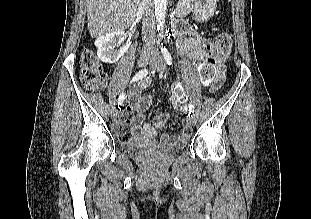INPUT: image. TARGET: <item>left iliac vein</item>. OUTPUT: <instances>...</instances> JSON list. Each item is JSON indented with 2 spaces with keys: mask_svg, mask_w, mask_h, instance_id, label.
<instances>
[{
  "mask_svg": "<svg viewBox=\"0 0 311 219\" xmlns=\"http://www.w3.org/2000/svg\"><path fill=\"white\" fill-rule=\"evenodd\" d=\"M150 65L152 68L159 72L164 71L166 67L165 62L161 56L152 59ZM196 121V116L194 114L189 117L190 125L194 126L196 124Z\"/></svg>",
  "mask_w": 311,
  "mask_h": 219,
  "instance_id": "4c4485c4",
  "label": "left iliac vein"
}]
</instances>
